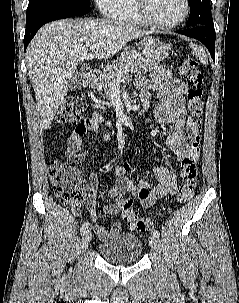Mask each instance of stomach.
Segmentation results:
<instances>
[{
	"label": "stomach",
	"mask_w": 239,
	"mask_h": 303,
	"mask_svg": "<svg viewBox=\"0 0 239 303\" xmlns=\"http://www.w3.org/2000/svg\"><path fill=\"white\" fill-rule=\"evenodd\" d=\"M138 50L149 60L161 61L168 57L170 47L155 37L145 36L138 42Z\"/></svg>",
	"instance_id": "stomach-1"
}]
</instances>
